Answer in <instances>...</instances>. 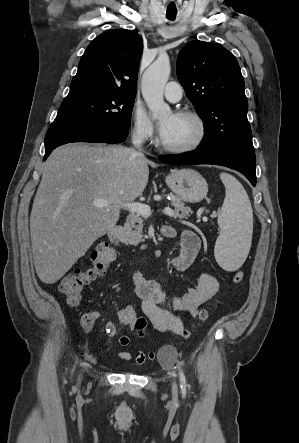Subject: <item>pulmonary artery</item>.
Masks as SVG:
<instances>
[{
	"label": "pulmonary artery",
	"instance_id": "pulmonary-artery-1",
	"mask_svg": "<svg viewBox=\"0 0 299 443\" xmlns=\"http://www.w3.org/2000/svg\"><path fill=\"white\" fill-rule=\"evenodd\" d=\"M182 87L177 82H169L164 88V96L171 102H177L182 97Z\"/></svg>",
	"mask_w": 299,
	"mask_h": 443
}]
</instances>
